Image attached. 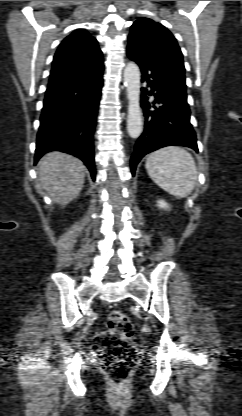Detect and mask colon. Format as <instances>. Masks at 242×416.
Here are the masks:
<instances>
[{
	"instance_id": "1",
	"label": "colon",
	"mask_w": 242,
	"mask_h": 416,
	"mask_svg": "<svg viewBox=\"0 0 242 416\" xmlns=\"http://www.w3.org/2000/svg\"><path fill=\"white\" fill-rule=\"evenodd\" d=\"M132 333L129 317L121 310H113L108 315L107 329L95 337L94 350L114 384L126 381L137 361Z\"/></svg>"
}]
</instances>
